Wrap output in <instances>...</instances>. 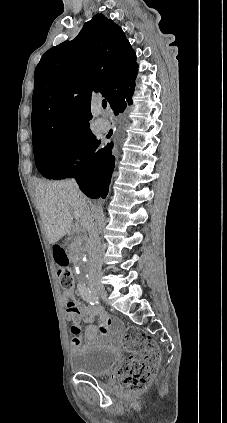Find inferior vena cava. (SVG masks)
Returning <instances> with one entry per match:
<instances>
[{
	"label": "inferior vena cava",
	"instance_id": "602c4592",
	"mask_svg": "<svg viewBox=\"0 0 227 423\" xmlns=\"http://www.w3.org/2000/svg\"><path fill=\"white\" fill-rule=\"evenodd\" d=\"M83 215L84 217L82 219V225L84 229H87L89 235L88 253L90 257V267L88 271V281L89 283H93V281H98L102 275V245L98 233V227H96V225L101 223L102 219L101 217H95V215H91V211L89 210V206H87V204H84Z\"/></svg>",
	"mask_w": 227,
	"mask_h": 423
}]
</instances>
